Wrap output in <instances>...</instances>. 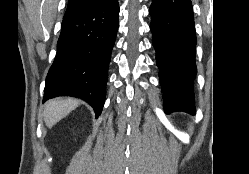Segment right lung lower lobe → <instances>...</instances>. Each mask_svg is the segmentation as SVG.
I'll list each match as a JSON object with an SVG mask.
<instances>
[{
    "instance_id": "right-lung-lower-lobe-1",
    "label": "right lung lower lobe",
    "mask_w": 249,
    "mask_h": 174,
    "mask_svg": "<svg viewBox=\"0 0 249 174\" xmlns=\"http://www.w3.org/2000/svg\"><path fill=\"white\" fill-rule=\"evenodd\" d=\"M118 15V0H106L64 15L43 102L62 95L79 97L93 107L96 117L100 115Z\"/></svg>"
}]
</instances>
